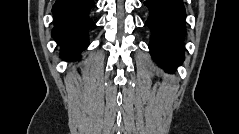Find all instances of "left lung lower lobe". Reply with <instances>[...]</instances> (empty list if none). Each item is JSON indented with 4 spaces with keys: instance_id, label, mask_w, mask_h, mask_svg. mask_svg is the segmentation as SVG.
<instances>
[{
    "instance_id": "1",
    "label": "left lung lower lobe",
    "mask_w": 239,
    "mask_h": 134,
    "mask_svg": "<svg viewBox=\"0 0 239 134\" xmlns=\"http://www.w3.org/2000/svg\"><path fill=\"white\" fill-rule=\"evenodd\" d=\"M149 18L145 25L151 30L149 49L155 61L167 72L184 60L183 39L186 17L182 0H146Z\"/></svg>"
}]
</instances>
